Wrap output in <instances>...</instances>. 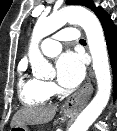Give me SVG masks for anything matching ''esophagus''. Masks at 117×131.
I'll return each mask as SVG.
<instances>
[{
  "instance_id": "esophagus-1",
  "label": "esophagus",
  "mask_w": 117,
  "mask_h": 131,
  "mask_svg": "<svg viewBox=\"0 0 117 131\" xmlns=\"http://www.w3.org/2000/svg\"><path fill=\"white\" fill-rule=\"evenodd\" d=\"M90 77L93 78V73L90 72ZM92 84L90 80L75 94H73L64 104L63 108L67 112L78 113L87 103V99L92 93Z\"/></svg>"
}]
</instances>
